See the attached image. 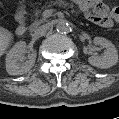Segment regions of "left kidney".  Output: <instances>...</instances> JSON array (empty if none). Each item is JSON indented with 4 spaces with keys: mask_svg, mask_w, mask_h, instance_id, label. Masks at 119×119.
<instances>
[{
    "mask_svg": "<svg viewBox=\"0 0 119 119\" xmlns=\"http://www.w3.org/2000/svg\"><path fill=\"white\" fill-rule=\"evenodd\" d=\"M95 45L105 48L102 56L93 55L88 58V62L95 67L106 69L114 66L118 62V53L115 46L103 37L94 38Z\"/></svg>",
    "mask_w": 119,
    "mask_h": 119,
    "instance_id": "obj_1",
    "label": "left kidney"
}]
</instances>
